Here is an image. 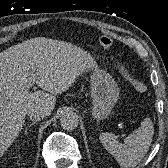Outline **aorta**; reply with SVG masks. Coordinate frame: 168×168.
Returning <instances> with one entry per match:
<instances>
[{"label": "aorta", "mask_w": 168, "mask_h": 168, "mask_svg": "<svg viewBox=\"0 0 168 168\" xmlns=\"http://www.w3.org/2000/svg\"><path fill=\"white\" fill-rule=\"evenodd\" d=\"M78 116L76 113L69 112L60 118L61 127L64 130L72 131L78 126Z\"/></svg>", "instance_id": "762f6f07"}]
</instances>
